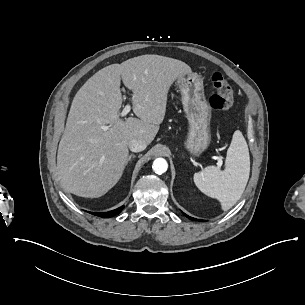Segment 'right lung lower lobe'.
<instances>
[{"instance_id": "1", "label": "right lung lower lobe", "mask_w": 305, "mask_h": 305, "mask_svg": "<svg viewBox=\"0 0 305 305\" xmlns=\"http://www.w3.org/2000/svg\"><path fill=\"white\" fill-rule=\"evenodd\" d=\"M124 206H121L115 210H112V211H109V212H105V213H92L96 216H100V217H112V216H115L117 214H119L122 210H123Z\"/></svg>"}]
</instances>
